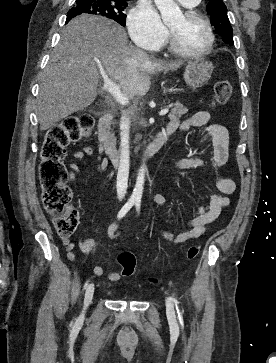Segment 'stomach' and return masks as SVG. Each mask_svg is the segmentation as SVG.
<instances>
[{
    "label": "stomach",
    "mask_w": 276,
    "mask_h": 363,
    "mask_svg": "<svg viewBox=\"0 0 276 363\" xmlns=\"http://www.w3.org/2000/svg\"><path fill=\"white\" fill-rule=\"evenodd\" d=\"M213 68L212 63L207 61H190L184 71V80L191 88H200L208 83Z\"/></svg>",
    "instance_id": "obj_1"
}]
</instances>
